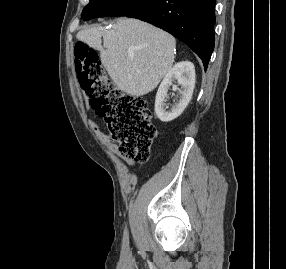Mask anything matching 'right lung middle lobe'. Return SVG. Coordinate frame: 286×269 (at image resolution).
<instances>
[{"label": "right lung middle lobe", "mask_w": 286, "mask_h": 269, "mask_svg": "<svg viewBox=\"0 0 286 269\" xmlns=\"http://www.w3.org/2000/svg\"><path fill=\"white\" fill-rule=\"evenodd\" d=\"M151 0H90L82 11L81 18L127 16Z\"/></svg>", "instance_id": "obj_1"}]
</instances>
